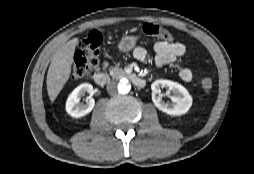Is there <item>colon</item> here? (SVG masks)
Wrapping results in <instances>:
<instances>
[{"mask_svg":"<svg viewBox=\"0 0 254 174\" xmlns=\"http://www.w3.org/2000/svg\"><path fill=\"white\" fill-rule=\"evenodd\" d=\"M142 32L147 36L157 37L166 42L173 40V35L168 29L152 23L143 24ZM102 41V35L95 30L88 32L79 39L71 70L73 79H83L97 67ZM201 85L203 90L208 93L212 90L213 82L210 78H204Z\"/></svg>","mask_w":254,"mask_h":174,"instance_id":"5ec220e1","label":"colon"}]
</instances>
